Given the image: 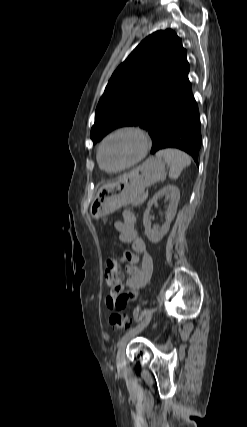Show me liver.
<instances>
[{"label":"liver","mask_w":247,"mask_h":427,"mask_svg":"<svg viewBox=\"0 0 247 427\" xmlns=\"http://www.w3.org/2000/svg\"><path fill=\"white\" fill-rule=\"evenodd\" d=\"M123 176H124V175H123ZM123 176H122V177H123ZM113 184H114V183H113ZM113 184H107V185H104L103 187L111 186V185H113Z\"/></svg>","instance_id":"1"}]
</instances>
